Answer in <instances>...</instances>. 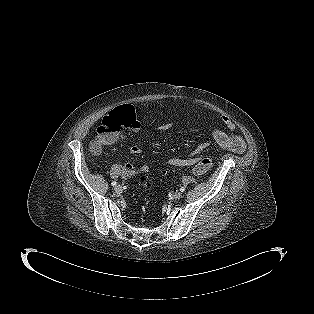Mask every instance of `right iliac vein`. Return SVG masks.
I'll list each match as a JSON object with an SVG mask.
<instances>
[{
	"label": "right iliac vein",
	"mask_w": 314,
	"mask_h": 314,
	"mask_svg": "<svg viewBox=\"0 0 314 314\" xmlns=\"http://www.w3.org/2000/svg\"><path fill=\"white\" fill-rule=\"evenodd\" d=\"M114 190H115L116 193H121L123 189H122L121 185H116Z\"/></svg>",
	"instance_id": "63e3f726"
}]
</instances>
